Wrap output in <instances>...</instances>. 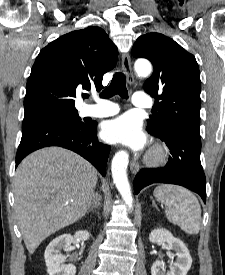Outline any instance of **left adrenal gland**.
<instances>
[{
    "mask_svg": "<svg viewBox=\"0 0 225 275\" xmlns=\"http://www.w3.org/2000/svg\"><path fill=\"white\" fill-rule=\"evenodd\" d=\"M152 206H153L154 208L158 209L157 206H156V204H155V201H154V200L152 201Z\"/></svg>",
    "mask_w": 225,
    "mask_h": 275,
    "instance_id": "a2214340",
    "label": "left adrenal gland"
}]
</instances>
